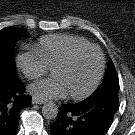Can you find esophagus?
Wrapping results in <instances>:
<instances>
[{
    "mask_svg": "<svg viewBox=\"0 0 135 135\" xmlns=\"http://www.w3.org/2000/svg\"><path fill=\"white\" fill-rule=\"evenodd\" d=\"M32 103H33V104H44L45 101L40 100V99H38V98H36V97H33V98H32Z\"/></svg>",
    "mask_w": 135,
    "mask_h": 135,
    "instance_id": "34e87169",
    "label": "esophagus"
}]
</instances>
